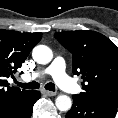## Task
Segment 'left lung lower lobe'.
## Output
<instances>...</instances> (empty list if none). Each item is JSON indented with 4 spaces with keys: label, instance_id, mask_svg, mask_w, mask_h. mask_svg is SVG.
Masks as SVG:
<instances>
[{
    "label": "left lung lower lobe",
    "instance_id": "0a47b994",
    "mask_svg": "<svg viewBox=\"0 0 118 118\" xmlns=\"http://www.w3.org/2000/svg\"><path fill=\"white\" fill-rule=\"evenodd\" d=\"M73 105L66 118H113L117 108L97 102L83 100L73 95Z\"/></svg>",
    "mask_w": 118,
    "mask_h": 118
}]
</instances>
